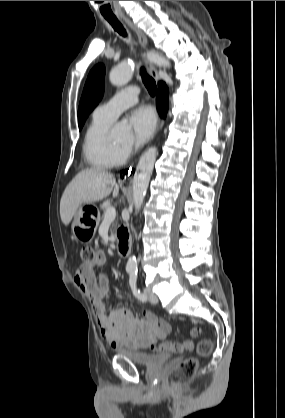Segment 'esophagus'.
Here are the masks:
<instances>
[{"mask_svg": "<svg viewBox=\"0 0 285 418\" xmlns=\"http://www.w3.org/2000/svg\"><path fill=\"white\" fill-rule=\"evenodd\" d=\"M121 18L129 25V27H131L137 34L138 36V40L139 43L141 44L142 48L145 50L147 47V39L146 36L144 35V33L142 32L141 29L137 28L131 21L130 19H128L126 16L121 15ZM146 62V66L149 70L150 75L153 77V79L158 82L160 81V75L158 73V70L156 69V67L148 60L145 61ZM163 127V121H160V123L158 124L157 127V131L161 130Z\"/></svg>", "mask_w": 285, "mask_h": 418, "instance_id": "34e87169", "label": "esophagus"}]
</instances>
